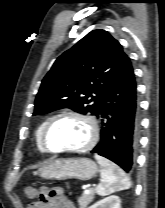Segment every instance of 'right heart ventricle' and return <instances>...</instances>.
Instances as JSON below:
<instances>
[{"label": "right heart ventricle", "mask_w": 165, "mask_h": 208, "mask_svg": "<svg viewBox=\"0 0 165 208\" xmlns=\"http://www.w3.org/2000/svg\"><path fill=\"white\" fill-rule=\"evenodd\" d=\"M55 116V114H52V115H49L47 116L41 123L40 125L38 126L37 130H36V133H35V144H36V147L37 149L40 151V152H45L43 146H42V143H41V134H42V131L44 129V127L46 126V124L48 123V121L53 118Z\"/></svg>", "instance_id": "right-heart-ventricle-1"}]
</instances>
